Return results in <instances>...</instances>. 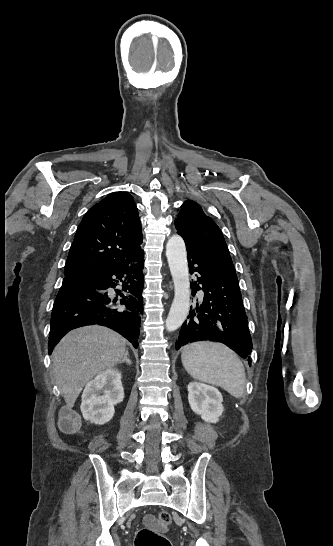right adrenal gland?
Masks as SVG:
<instances>
[{"label": "right adrenal gland", "instance_id": "2a0ac1e0", "mask_svg": "<svg viewBox=\"0 0 333 546\" xmlns=\"http://www.w3.org/2000/svg\"><path fill=\"white\" fill-rule=\"evenodd\" d=\"M128 351L126 350L125 354H124V358L118 363V364H121L123 362H127V364L131 365L132 362L131 360L128 358Z\"/></svg>", "mask_w": 333, "mask_h": 546}]
</instances>
